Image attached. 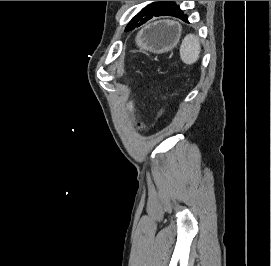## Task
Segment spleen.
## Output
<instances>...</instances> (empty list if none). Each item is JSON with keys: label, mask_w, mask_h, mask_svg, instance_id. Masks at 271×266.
<instances>
[{"label": "spleen", "mask_w": 271, "mask_h": 266, "mask_svg": "<svg viewBox=\"0 0 271 266\" xmlns=\"http://www.w3.org/2000/svg\"><path fill=\"white\" fill-rule=\"evenodd\" d=\"M201 52L199 38L194 34H187L180 46L181 60L188 65L195 63Z\"/></svg>", "instance_id": "obj_1"}]
</instances>
